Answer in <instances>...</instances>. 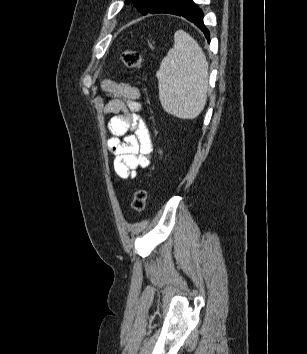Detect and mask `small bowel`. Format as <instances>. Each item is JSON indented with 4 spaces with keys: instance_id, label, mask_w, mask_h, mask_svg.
<instances>
[{
    "instance_id": "small-bowel-1",
    "label": "small bowel",
    "mask_w": 307,
    "mask_h": 354,
    "mask_svg": "<svg viewBox=\"0 0 307 354\" xmlns=\"http://www.w3.org/2000/svg\"><path fill=\"white\" fill-rule=\"evenodd\" d=\"M115 95L104 107V114H114L109 120L107 141L113 157V169L120 179L134 178L139 168L150 164L153 144L149 130L138 112L141 110L139 90L127 83H109Z\"/></svg>"
}]
</instances>
